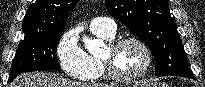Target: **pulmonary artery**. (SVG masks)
I'll use <instances>...</instances> for the list:
<instances>
[{"instance_id":"obj_1","label":"pulmonary artery","mask_w":205,"mask_h":87,"mask_svg":"<svg viewBox=\"0 0 205 87\" xmlns=\"http://www.w3.org/2000/svg\"><path fill=\"white\" fill-rule=\"evenodd\" d=\"M90 30L92 32H99L113 35L116 33V24L110 18L96 17L90 22Z\"/></svg>"}]
</instances>
